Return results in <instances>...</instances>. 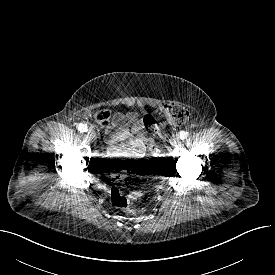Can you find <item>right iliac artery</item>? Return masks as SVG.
Masks as SVG:
<instances>
[{
	"label": "right iliac artery",
	"instance_id": "1",
	"mask_svg": "<svg viewBox=\"0 0 275 275\" xmlns=\"http://www.w3.org/2000/svg\"><path fill=\"white\" fill-rule=\"evenodd\" d=\"M77 129L80 132H87L88 131V126L84 123H80V124L77 125Z\"/></svg>",
	"mask_w": 275,
	"mask_h": 275
}]
</instances>
